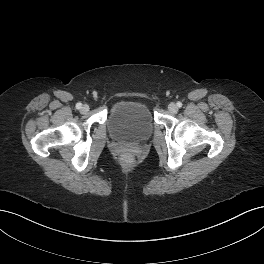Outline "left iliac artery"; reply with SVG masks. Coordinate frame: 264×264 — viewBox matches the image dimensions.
<instances>
[{
	"instance_id": "1",
	"label": "left iliac artery",
	"mask_w": 264,
	"mask_h": 264,
	"mask_svg": "<svg viewBox=\"0 0 264 264\" xmlns=\"http://www.w3.org/2000/svg\"><path fill=\"white\" fill-rule=\"evenodd\" d=\"M177 107H182V103L181 102H177Z\"/></svg>"
}]
</instances>
